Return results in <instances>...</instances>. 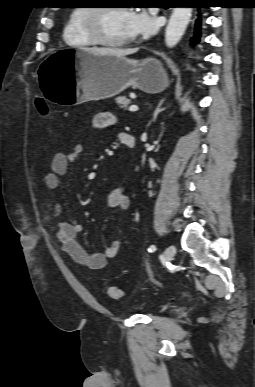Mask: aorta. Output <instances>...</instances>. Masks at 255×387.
<instances>
[{"label": "aorta", "instance_id": "obj_1", "mask_svg": "<svg viewBox=\"0 0 255 387\" xmlns=\"http://www.w3.org/2000/svg\"><path fill=\"white\" fill-rule=\"evenodd\" d=\"M192 14L191 7H175L165 31V43L169 48L178 44L185 33Z\"/></svg>", "mask_w": 255, "mask_h": 387}]
</instances>
